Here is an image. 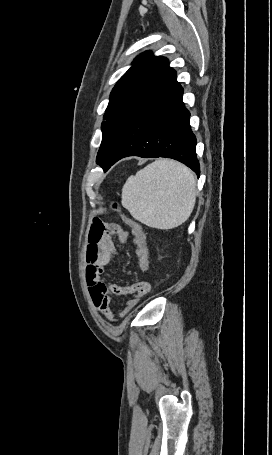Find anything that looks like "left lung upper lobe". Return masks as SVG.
Here are the masks:
<instances>
[{
    "label": "left lung upper lobe",
    "mask_w": 272,
    "mask_h": 455,
    "mask_svg": "<svg viewBox=\"0 0 272 455\" xmlns=\"http://www.w3.org/2000/svg\"><path fill=\"white\" fill-rule=\"evenodd\" d=\"M176 78L165 57L150 51L137 56L110 94L102 122V143L96 162L101 165L129 121Z\"/></svg>",
    "instance_id": "obj_1"
}]
</instances>
